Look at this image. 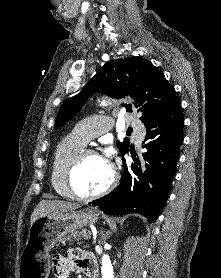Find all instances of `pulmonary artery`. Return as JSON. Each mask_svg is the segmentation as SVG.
<instances>
[{"label":"pulmonary artery","mask_w":221,"mask_h":278,"mask_svg":"<svg viewBox=\"0 0 221 278\" xmlns=\"http://www.w3.org/2000/svg\"><path fill=\"white\" fill-rule=\"evenodd\" d=\"M110 122L111 120L107 118H99L92 121L81 122L74 128L72 135L82 143L86 144L91 139L106 132ZM129 125L140 133L138 140H141L142 133L144 131L141 122L137 120H131L129 121Z\"/></svg>","instance_id":"e3ab8cb5"}]
</instances>
